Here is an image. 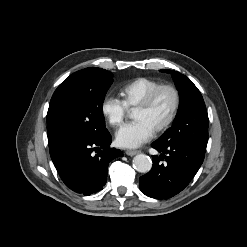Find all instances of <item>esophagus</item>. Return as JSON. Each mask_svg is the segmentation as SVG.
<instances>
[{
  "label": "esophagus",
  "instance_id": "esophagus-1",
  "mask_svg": "<svg viewBox=\"0 0 247 247\" xmlns=\"http://www.w3.org/2000/svg\"><path fill=\"white\" fill-rule=\"evenodd\" d=\"M140 151H138V150H127L126 151V154L128 155V156H134V155H136V154H138Z\"/></svg>",
  "mask_w": 247,
  "mask_h": 247
}]
</instances>
